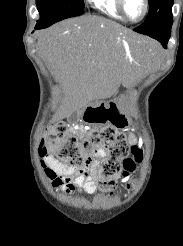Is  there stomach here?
Masks as SVG:
<instances>
[{
  "label": "stomach",
  "mask_w": 183,
  "mask_h": 246,
  "mask_svg": "<svg viewBox=\"0 0 183 246\" xmlns=\"http://www.w3.org/2000/svg\"><path fill=\"white\" fill-rule=\"evenodd\" d=\"M103 123L110 124L115 128H125L128 125L129 119L122 107V98L110 100L103 109L100 110Z\"/></svg>",
  "instance_id": "obj_1"
}]
</instances>
